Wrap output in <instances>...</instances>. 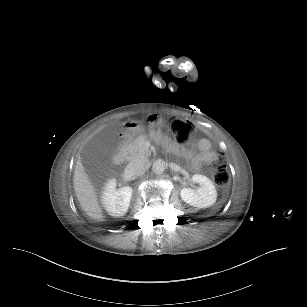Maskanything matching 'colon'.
<instances>
[{"mask_svg": "<svg viewBox=\"0 0 307 307\" xmlns=\"http://www.w3.org/2000/svg\"><path fill=\"white\" fill-rule=\"evenodd\" d=\"M170 131L179 144H186L191 139L194 127L188 121L178 117H172L169 121ZM214 182L219 186H225L229 180L226 158L222 155L216 157L211 166Z\"/></svg>", "mask_w": 307, "mask_h": 307, "instance_id": "colon-1", "label": "colon"}]
</instances>
